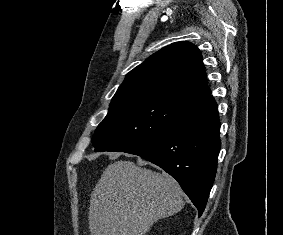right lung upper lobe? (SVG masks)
<instances>
[{"instance_id": "1", "label": "right lung upper lobe", "mask_w": 283, "mask_h": 235, "mask_svg": "<svg viewBox=\"0 0 283 235\" xmlns=\"http://www.w3.org/2000/svg\"><path fill=\"white\" fill-rule=\"evenodd\" d=\"M211 93L200 50L176 42L130 71L111 103L138 99H167L188 104Z\"/></svg>"}]
</instances>
